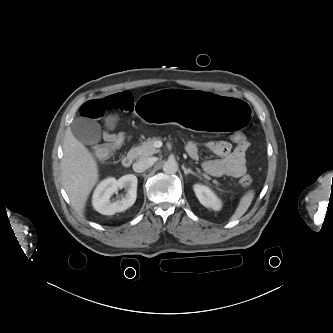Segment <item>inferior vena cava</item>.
<instances>
[{"instance_id": "obj_1", "label": "inferior vena cava", "mask_w": 333, "mask_h": 333, "mask_svg": "<svg viewBox=\"0 0 333 333\" xmlns=\"http://www.w3.org/2000/svg\"><path fill=\"white\" fill-rule=\"evenodd\" d=\"M153 165L152 159H141L135 162L132 166L133 170L137 173L144 172Z\"/></svg>"}]
</instances>
